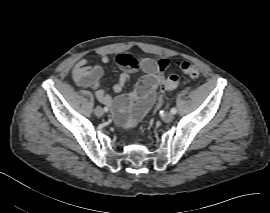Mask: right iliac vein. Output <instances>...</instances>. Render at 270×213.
<instances>
[{
	"label": "right iliac vein",
	"instance_id": "1",
	"mask_svg": "<svg viewBox=\"0 0 270 213\" xmlns=\"http://www.w3.org/2000/svg\"><path fill=\"white\" fill-rule=\"evenodd\" d=\"M95 112V115L98 116V117H101L103 115V110L100 106H97L94 110Z\"/></svg>",
	"mask_w": 270,
	"mask_h": 213
}]
</instances>
